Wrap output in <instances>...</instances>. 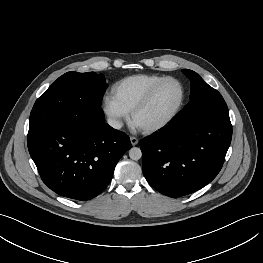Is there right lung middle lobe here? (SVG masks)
Masks as SVG:
<instances>
[{
	"label": "right lung middle lobe",
	"mask_w": 263,
	"mask_h": 263,
	"mask_svg": "<svg viewBox=\"0 0 263 263\" xmlns=\"http://www.w3.org/2000/svg\"><path fill=\"white\" fill-rule=\"evenodd\" d=\"M107 84L102 74L67 72L37 99L30 114L29 135L62 119L100 108Z\"/></svg>",
	"instance_id": "right-lung-middle-lobe-1"
}]
</instances>
